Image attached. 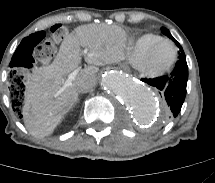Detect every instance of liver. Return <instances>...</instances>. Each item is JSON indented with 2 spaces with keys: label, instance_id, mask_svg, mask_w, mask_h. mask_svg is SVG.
<instances>
[{
  "label": "liver",
  "instance_id": "liver-1",
  "mask_svg": "<svg viewBox=\"0 0 215 183\" xmlns=\"http://www.w3.org/2000/svg\"><path fill=\"white\" fill-rule=\"evenodd\" d=\"M126 32L116 25L87 24L77 27L64 38L54 61L33 71L26 83L23 120L35 137L51 135L78 99L81 81L96 84L97 66L123 59ZM81 47L89 50L85 56L89 66L81 69L72 85L57 94L64 76L81 63Z\"/></svg>",
  "mask_w": 215,
  "mask_h": 183
}]
</instances>
